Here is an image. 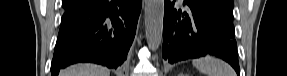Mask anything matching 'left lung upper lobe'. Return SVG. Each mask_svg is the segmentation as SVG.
Instances as JSON below:
<instances>
[{
	"label": "left lung upper lobe",
	"mask_w": 287,
	"mask_h": 76,
	"mask_svg": "<svg viewBox=\"0 0 287 76\" xmlns=\"http://www.w3.org/2000/svg\"><path fill=\"white\" fill-rule=\"evenodd\" d=\"M233 21V0H193Z\"/></svg>",
	"instance_id": "left-lung-upper-lobe-1"
}]
</instances>
